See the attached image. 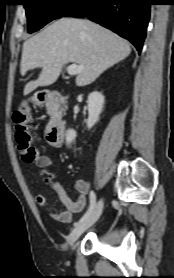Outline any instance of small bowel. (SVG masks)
I'll return each instance as SVG.
<instances>
[{
	"instance_id": "1",
	"label": "small bowel",
	"mask_w": 174,
	"mask_h": 278,
	"mask_svg": "<svg viewBox=\"0 0 174 278\" xmlns=\"http://www.w3.org/2000/svg\"><path fill=\"white\" fill-rule=\"evenodd\" d=\"M31 163L39 168L51 167L54 165L50 157L40 154H38L37 158ZM75 189L78 192V198L74 201L68 196L58 179H54L51 183L50 193L57 195L60 202L65 207V210L52 215L54 219L61 223L70 222L73 214L81 212L86 205V196L90 190L89 183L85 179H78L75 182ZM35 201L39 206L43 207L46 204V197L42 194H37L35 196Z\"/></svg>"
}]
</instances>
